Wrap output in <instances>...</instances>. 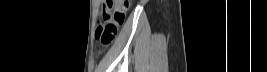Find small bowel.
<instances>
[{"label": "small bowel", "instance_id": "obj_1", "mask_svg": "<svg viewBox=\"0 0 267 72\" xmlns=\"http://www.w3.org/2000/svg\"><path fill=\"white\" fill-rule=\"evenodd\" d=\"M103 7H104V5H103ZM108 16V13L107 12H102V19L104 18V17H107Z\"/></svg>", "mask_w": 267, "mask_h": 72}]
</instances>
